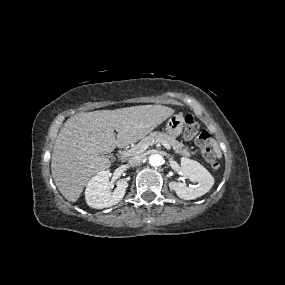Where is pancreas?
I'll use <instances>...</instances> for the list:
<instances>
[{
    "mask_svg": "<svg viewBox=\"0 0 285 285\" xmlns=\"http://www.w3.org/2000/svg\"><path fill=\"white\" fill-rule=\"evenodd\" d=\"M163 140L168 143L176 153L189 157L195 152H190L188 147H185L183 143L177 141L174 137L164 133V132H151L147 137L143 138L137 145L128 150L130 155H137L143 153L145 150L142 149V145L149 144L152 141Z\"/></svg>",
    "mask_w": 285,
    "mask_h": 285,
    "instance_id": "obj_1",
    "label": "pancreas"
}]
</instances>
